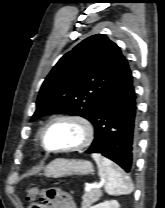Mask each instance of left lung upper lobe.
Returning a JSON list of instances; mask_svg holds the SVG:
<instances>
[{
  "instance_id": "5c2ea615",
  "label": "left lung upper lobe",
  "mask_w": 165,
  "mask_h": 208,
  "mask_svg": "<svg viewBox=\"0 0 165 208\" xmlns=\"http://www.w3.org/2000/svg\"><path fill=\"white\" fill-rule=\"evenodd\" d=\"M126 63L120 48L106 35L83 40L46 77L31 121L62 112L92 122L104 94Z\"/></svg>"
}]
</instances>
